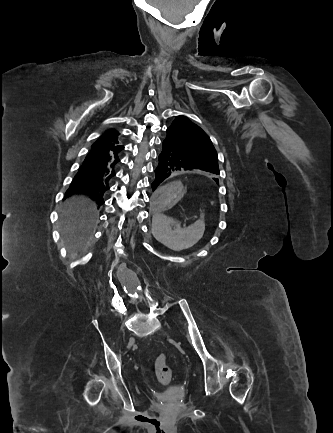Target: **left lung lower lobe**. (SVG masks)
<instances>
[{
    "instance_id": "0a47b994",
    "label": "left lung lower lobe",
    "mask_w": 333,
    "mask_h": 433,
    "mask_svg": "<svg viewBox=\"0 0 333 433\" xmlns=\"http://www.w3.org/2000/svg\"><path fill=\"white\" fill-rule=\"evenodd\" d=\"M158 158L159 164L155 170L156 177L151 184L153 191H156V193L161 189V185L166 178L179 171H207L219 174L211 167L197 161L180 149L172 147L168 139L163 140L161 153Z\"/></svg>"
}]
</instances>
